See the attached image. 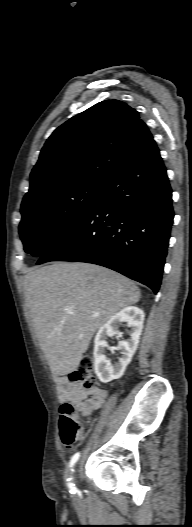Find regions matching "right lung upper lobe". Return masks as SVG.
Here are the masks:
<instances>
[{"label": "right lung upper lobe", "mask_w": 192, "mask_h": 527, "mask_svg": "<svg viewBox=\"0 0 192 527\" xmlns=\"http://www.w3.org/2000/svg\"><path fill=\"white\" fill-rule=\"evenodd\" d=\"M152 141L135 109L119 100L99 102L48 138L23 202L84 181L106 184Z\"/></svg>", "instance_id": "obj_1"}]
</instances>
